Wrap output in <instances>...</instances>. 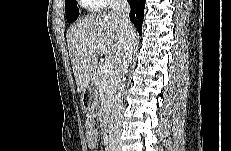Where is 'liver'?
Listing matches in <instances>:
<instances>
[{"label": "liver", "mask_w": 231, "mask_h": 151, "mask_svg": "<svg viewBox=\"0 0 231 151\" xmlns=\"http://www.w3.org/2000/svg\"><path fill=\"white\" fill-rule=\"evenodd\" d=\"M132 27L135 41V28ZM125 42L126 37L113 12L92 13L69 28L67 44L78 93L85 91L95 78L98 55L102 52L97 45H104L106 51L102 53L116 70Z\"/></svg>", "instance_id": "obj_1"}]
</instances>
